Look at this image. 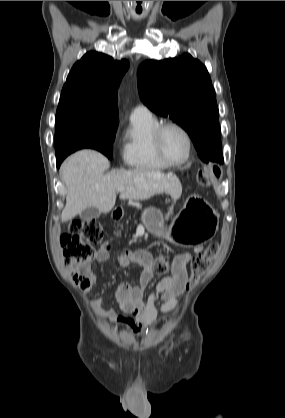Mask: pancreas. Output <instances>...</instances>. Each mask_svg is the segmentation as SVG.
Listing matches in <instances>:
<instances>
[{
	"label": "pancreas",
	"instance_id": "cf45deb5",
	"mask_svg": "<svg viewBox=\"0 0 285 418\" xmlns=\"http://www.w3.org/2000/svg\"><path fill=\"white\" fill-rule=\"evenodd\" d=\"M173 215V207H169L168 208V212H167V214H166V217H170V216H172Z\"/></svg>",
	"mask_w": 285,
	"mask_h": 418
}]
</instances>
